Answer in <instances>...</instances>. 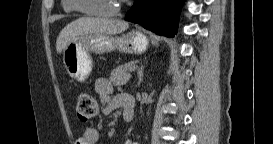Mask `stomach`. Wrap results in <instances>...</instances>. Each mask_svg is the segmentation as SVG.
I'll return each mask as SVG.
<instances>
[{
    "mask_svg": "<svg viewBox=\"0 0 273 144\" xmlns=\"http://www.w3.org/2000/svg\"><path fill=\"white\" fill-rule=\"evenodd\" d=\"M148 46V37L140 31H132L120 37L89 33L68 43L63 50V63L71 78L84 82L93 68L91 53L102 54L118 49L126 53L141 54Z\"/></svg>",
    "mask_w": 273,
    "mask_h": 144,
    "instance_id": "obj_1",
    "label": "stomach"
}]
</instances>
